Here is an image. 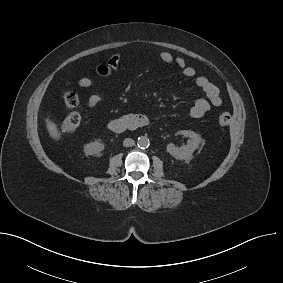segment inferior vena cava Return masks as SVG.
I'll return each instance as SVG.
<instances>
[{"label": "inferior vena cava", "mask_w": 283, "mask_h": 283, "mask_svg": "<svg viewBox=\"0 0 283 283\" xmlns=\"http://www.w3.org/2000/svg\"><path fill=\"white\" fill-rule=\"evenodd\" d=\"M135 145V141L131 138H126L124 141H123V146L124 147H132Z\"/></svg>", "instance_id": "obj_1"}]
</instances>
